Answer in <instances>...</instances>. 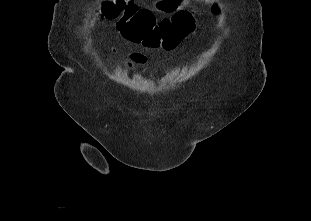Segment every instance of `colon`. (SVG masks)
<instances>
[{
	"instance_id": "obj_1",
	"label": "colon",
	"mask_w": 311,
	"mask_h": 221,
	"mask_svg": "<svg viewBox=\"0 0 311 221\" xmlns=\"http://www.w3.org/2000/svg\"><path fill=\"white\" fill-rule=\"evenodd\" d=\"M104 8L100 11V20L105 22L110 17H119L118 30L123 39H133L147 48L172 50L195 29L193 18L189 12H178L172 18H163L156 23L150 10L140 8L124 0L104 1ZM215 16L221 17V7L216 2L210 3Z\"/></svg>"
}]
</instances>
